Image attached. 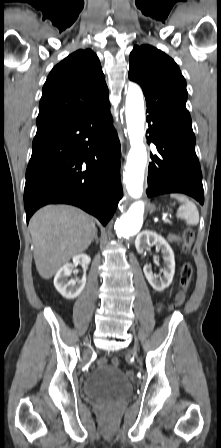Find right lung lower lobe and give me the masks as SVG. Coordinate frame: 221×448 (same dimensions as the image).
<instances>
[{"instance_id": "98d812e1", "label": "right lung lower lobe", "mask_w": 221, "mask_h": 448, "mask_svg": "<svg viewBox=\"0 0 221 448\" xmlns=\"http://www.w3.org/2000/svg\"><path fill=\"white\" fill-rule=\"evenodd\" d=\"M26 171L27 223L49 203L78 206L106 225L122 197L120 143L109 100L37 133Z\"/></svg>"}]
</instances>
